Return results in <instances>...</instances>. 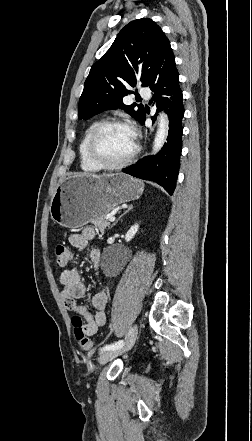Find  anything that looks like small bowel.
Returning a JSON list of instances; mask_svg holds the SVG:
<instances>
[{"label": "small bowel", "instance_id": "1", "mask_svg": "<svg viewBox=\"0 0 252 441\" xmlns=\"http://www.w3.org/2000/svg\"><path fill=\"white\" fill-rule=\"evenodd\" d=\"M96 232L93 228H84L80 233H73L69 236V243L77 248L84 249L95 239ZM90 259L95 269L100 263V252L97 249L90 251ZM62 285L61 297L67 310L78 315L84 323V331L87 335H94L98 328L105 325L107 321V310L110 299L107 291L101 288L91 299L94 312L86 305L78 303V299L86 296V285L77 269L64 270L59 277Z\"/></svg>", "mask_w": 252, "mask_h": 441}]
</instances>
